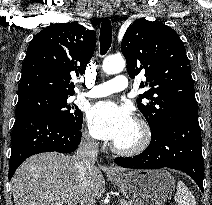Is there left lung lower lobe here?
I'll use <instances>...</instances> for the list:
<instances>
[{
  "instance_id": "0a47b994",
  "label": "left lung lower lobe",
  "mask_w": 212,
  "mask_h": 205,
  "mask_svg": "<svg viewBox=\"0 0 212 205\" xmlns=\"http://www.w3.org/2000/svg\"><path fill=\"white\" fill-rule=\"evenodd\" d=\"M198 108L182 109L174 113L166 124L152 133V141L140 155L116 158L124 168H173L187 173L203 192V157Z\"/></svg>"
}]
</instances>
